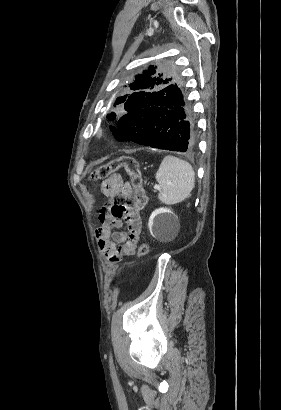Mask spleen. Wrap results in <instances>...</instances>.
Listing matches in <instances>:
<instances>
[{
  "mask_svg": "<svg viewBox=\"0 0 281 410\" xmlns=\"http://www.w3.org/2000/svg\"><path fill=\"white\" fill-rule=\"evenodd\" d=\"M161 187L158 198L165 204H176L185 200L194 188L195 174L192 166L174 156H165L156 173Z\"/></svg>",
  "mask_w": 281,
  "mask_h": 410,
  "instance_id": "obj_1",
  "label": "spleen"
}]
</instances>
